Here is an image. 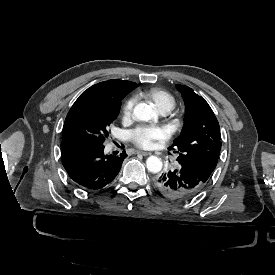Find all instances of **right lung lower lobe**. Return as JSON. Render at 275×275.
<instances>
[{"label": "right lung lower lobe", "mask_w": 275, "mask_h": 275, "mask_svg": "<svg viewBox=\"0 0 275 275\" xmlns=\"http://www.w3.org/2000/svg\"><path fill=\"white\" fill-rule=\"evenodd\" d=\"M104 145L89 141L61 143L62 164L69 177L81 188L98 190L113 181L120 171L125 151L119 156L105 155Z\"/></svg>", "instance_id": "1"}]
</instances>
